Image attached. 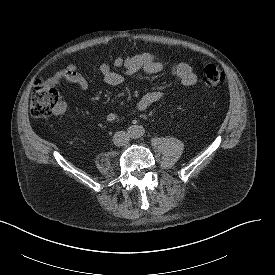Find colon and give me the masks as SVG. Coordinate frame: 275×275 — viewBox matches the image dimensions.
Returning <instances> with one entry per match:
<instances>
[{"mask_svg":"<svg viewBox=\"0 0 275 275\" xmlns=\"http://www.w3.org/2000/svg\"><path fill=\"white\" fill-rule=\"evenodd\" d=\"M205 85L211 90H219L225 82V74L214 65H207L203 71ZM58 91L49 82L37 81L33 85L30 111L33 117L50 116L60 105Z\"/></svg>","mask_w":275,"mask_h":275,"instance_id":"1","label":"colon"}]
</instances>
